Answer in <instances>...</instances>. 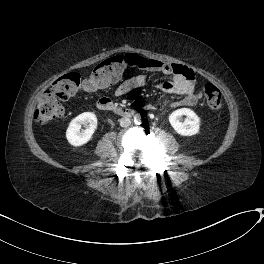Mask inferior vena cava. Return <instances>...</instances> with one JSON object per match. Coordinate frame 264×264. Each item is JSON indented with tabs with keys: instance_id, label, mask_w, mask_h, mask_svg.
Listing matches in <instances>:
<instances>
[{
	"instance_id": "1",
	"label": "inferior vena cava",
	"mask_w": 264,
	"mask_h": 264,
	"mask_svg": "<svg viewBox=\"0 0 264 264\" xmlns=\"http://www.w3.org/2000/svg\"><path fill=\"white\" fill-rule=\"evenodd\" d=\"M121 127H128L131 124V120L128 117H123L119 120Z\"/></svg>"
}]
</instances>
